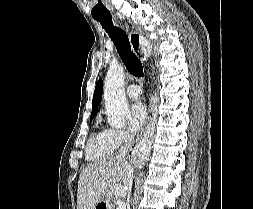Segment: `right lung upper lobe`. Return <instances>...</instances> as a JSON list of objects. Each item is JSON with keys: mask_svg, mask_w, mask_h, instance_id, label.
<instances>
[{"mask_svg": "<svg viewBox=\"0 0 253 209\" xmlns=\"http://www.w3.org/2000/svg\"><path fill=\"white\" fill-rule=\"evenodd\" d=\"M102 98V79H100L95 87L93 102H92V112L90 118H94L97 114V108L101 102Z\"/></svg>", "mask_w": 253, "mask_h": 209, "instance_id": "obj_1", "label": "right lung upper lobe"}]
</instances>
